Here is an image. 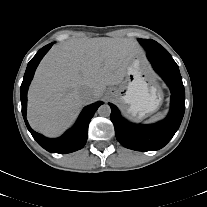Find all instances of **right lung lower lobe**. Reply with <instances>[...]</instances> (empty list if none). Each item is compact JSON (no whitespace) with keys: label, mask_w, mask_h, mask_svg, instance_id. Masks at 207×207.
Instances as JSON below:
<instances>
[{"label":"right lung lower lobe","mask_w":207,"mask_h":207,"mask_svg":"<svg viewBox=\"0 0 207 207\" xmlns=\"http://www.w3.org/2000/svg\"><path fill=\"white\" fill-rule=\"evenodd\" d=\"M51 47L52 43L41 48L27 65L21 84L22 115L28 130L40 146L51 153H70L83 148L86 144L90 120L103 102H96L86 106L74 126L59 138L49 139L31 129L26 119L27 91L39 62Z\"/></svg>","instance_id":"obj_1"}]
</instances>
